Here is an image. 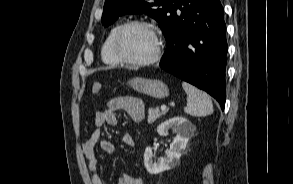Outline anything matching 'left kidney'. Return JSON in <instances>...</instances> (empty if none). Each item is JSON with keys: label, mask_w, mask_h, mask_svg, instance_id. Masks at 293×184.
I'll use <instances>...</instances> for the list:
<instances>
[{"label": "left kidney", "mask_w": 293, "mask_h": 184, "mask_svg": "<svg viewBox=\"0 0 293 184\" xmlns=\"http://www.w3.org/2000/svg\"><path fill=\"white\" fill-rule=\"evenodd\" d=\"M172 129L176 136L166 153V157H160L154 161L152 149L147 147L144 153V165L150 174H158L170 170L179 163L182 152L185 150L190 137L194 134L195 126L185 117H173L157 127V132L161 136H166L168 130Z\"/></svg>", "instance_id": "obj_1"}]
</instances>
